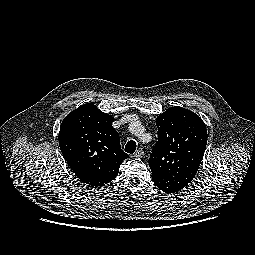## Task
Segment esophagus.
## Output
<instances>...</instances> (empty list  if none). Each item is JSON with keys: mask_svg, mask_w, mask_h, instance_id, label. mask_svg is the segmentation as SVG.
I'll use <instances>...</instances> for the list:
<instances>
[{"mask_svg": "<svg viewBox=\"0 0 255 255\" xmlns=\"http://www.w3.org/2000/svg\"><path fill=\"white\" fill-rule=\"evenodd\" d=\"M135 157H143L144 156V150L142 148H139L135 153H134Z\"/></svg>", "mask_w": 255, "mask_h": 255, "instance_id": "1", "label": "esophagus"}]
</instances>
